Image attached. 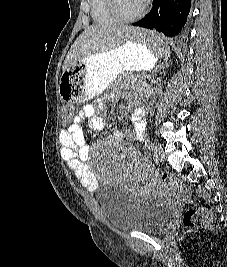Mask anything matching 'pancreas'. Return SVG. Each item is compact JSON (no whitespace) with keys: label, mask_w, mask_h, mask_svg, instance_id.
<instances>
[{"label":"pancreas","mask_w":227,"mask_h":267,"mask_svg":"<svg viewBox=\"0 0 227 267\" xmlns=\"http://www.w3.org/2000/svg\"><path fill=\"white\" fill-rule=\"evenodd\" d=\"M115 83L134 90H143L145 87V82L137 75L122 74Z\"/></svg>","instance_id":"1"}]
</instances>
